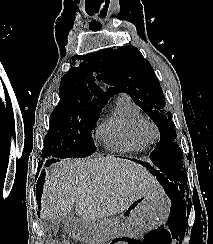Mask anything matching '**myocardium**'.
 Segmentation results:
<instances>
[{"instance_id":"1","label":"myocardium","mask_w":213,"mask_h":244,"mask_svg":"<svg viewBox=\"0 0 213 244\" xmlns=\"http://www.w3.org/2000/svg\"><path fill=\"white\" fill-rule=\"evenodd\" d=\"M139 131L151 142L159 140L161 136L159 127L151 120H144L139 126Z\"/></svg>"}]
</instances>
